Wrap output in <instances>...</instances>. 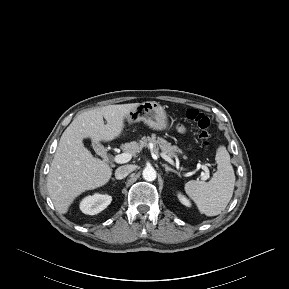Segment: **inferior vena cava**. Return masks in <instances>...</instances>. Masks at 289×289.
Returning a JSON list of instances; mask_svg holds the SVG:
<instances>
[{
  "label": "inferior vena cava",
  "mask_w": 289,
  "mask_h": 289,
  "mask_svg": "<svg viewBox=\"0 0 289 289\" xmlns=\"http://www.w3.org/2000/svg\"><path fill=\"white\" fill-rule=\"evenodd\" d=\"M134 169H135L134 165L120 166L115 171V177L117 179H123L126 176H128L132 171H134Z\"/></svg>",
  "instance_id": "obj_1"
}]
</instances>
